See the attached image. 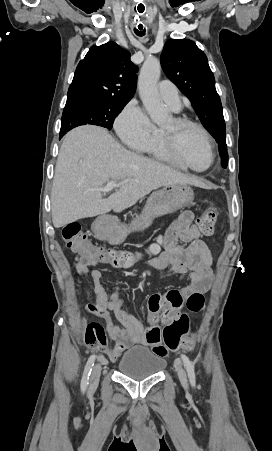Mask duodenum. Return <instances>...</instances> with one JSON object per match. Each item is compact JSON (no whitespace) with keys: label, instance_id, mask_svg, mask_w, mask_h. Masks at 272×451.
I'll use <instances>...</instances> for the list:
<instances>
[{"label":"duodenum","instance_id":"duodenum-1","mask_svg":"<svg viewBox=\"0 0 272 451\" xmlns=\"http://www.w3.org/2000/svg\"><path fill=\"white\" fill-rule=\"evenodd\" d=\"M94 233L101 239H105L108 236L106 223L103 220H97L93 227Z\"/></svg>","mask_w":272,"mask_h":451}]
</instances>
